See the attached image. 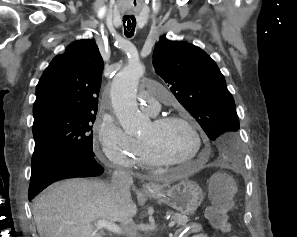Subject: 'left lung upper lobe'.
Listing matches in <instances>:
<instances>
[{"mask_svg":"<svg viewBox=\"0 0 297 237\" xmlns=\"http://www.w3.org/2000/svg\"><path fill=\"white\" fill-rule=\"evenodd\" d=\"M153 65L213 141L217 156L239 159L242 148L235 102L214 60L187 42L161 39L153 52Z\"/></svg>","mask_w":297,"mask_h":237,"instance_id":"obj_1","label":"left lung upper lobe"}]
</instances>
